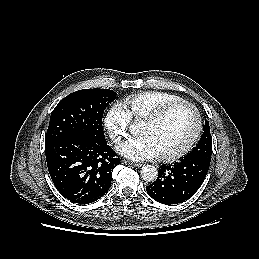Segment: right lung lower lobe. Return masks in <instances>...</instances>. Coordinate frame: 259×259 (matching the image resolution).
<instances>
[{"mask_svg": "<svg viewBox=\"0 0 259 259\" xmlns=\"http://www.w3.org/2000/svg\"><path fill=\"white\" fill-rule=\"evenodd\" d=\"M47 167L57 190L78 204L100 199L110 188L120 158L106 140L65 137L45 146Z\"/></svg>", "mask_w": 259, "mask_h": 259, "instance_id": "98d812e1", "label": "right lung lower lobe"}]
</instances>
